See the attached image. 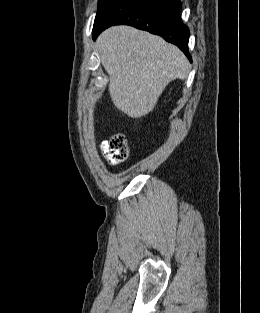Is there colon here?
I'll list each match as a JSON object with an SVG mask.
<instances>
[{"label":"colon","mask_w":260,"mask_h":313,"mask_svg":"<svg viewBox=\"0 0 260 313\" xmlns=\"http://www.w3.org/2000/svg\"><path fill=\"white\" fill-rule=\"evenodd\" d=\"M102 152L111 166L125 161L129 154L126 136L121 133L113 135L109 140L103 142Z\"/></svg>","instance_id":"colon-1"}]
</instances>
